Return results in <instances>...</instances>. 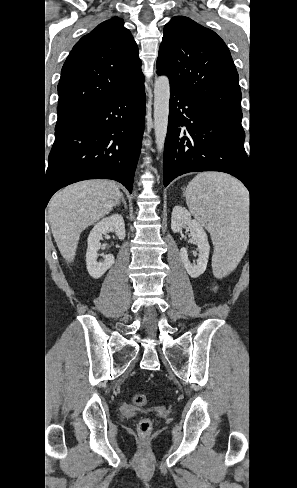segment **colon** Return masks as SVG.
Instances as JSON below:
<instances>
[{"label": "colon", "instance_id": "1", "mask_svg": "<svg viewBox=\"0 0 297 488\" xmlns=\"http://www.w3.org/2000/svg\"><path fill=\"white\" fill-rule=\"evenodd\" d=\"M216 288V287H215ZM132 400L137 406H145L148 402L147 397L140 393H134ZM138 429L142 434H148L152 429V422L148 418H144L139 422Z\"/></svg>", "mask_w": 297, "mask_h": 488}]
</instances>
